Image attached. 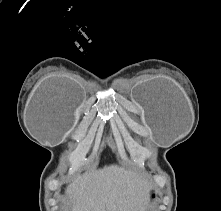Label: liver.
<instances>
[{"label": "liver", "mask_w": 221, "mask_h": 211, "mask_svg": "<svg viewBox=\"0 0 221 211\" xmlns=\"http://www.w3.org/2000/svg\"><path fill=\"white\" fill-rule=\"evenodd\" d=\"M151 184L117 165L85 172L67 187L72 211H144Z\"/></svg>", "instance_id": "liver-1"}]
</instances>
